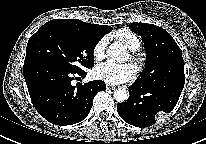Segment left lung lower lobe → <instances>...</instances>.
I'll list each match as a JSON object with an SVG mask.
<instances>
[{"instance_id": "1", "label": "left lung lower lobe", "mask_w": 206, "mask_h": 144, "mask_svg": "<svg viewBox=\"0 0 206 144\" xmlns=\"http://www.w3.org/2000/svg\"><path fill=\"white\" fill-rule=\"evenodd\" d=\"M184 83V75L152 86L134 82L129 86V99L117 105L118 114L130 125L152 126L159 114L170 113L174 109Z\"/></svg>"}]
</instances>
